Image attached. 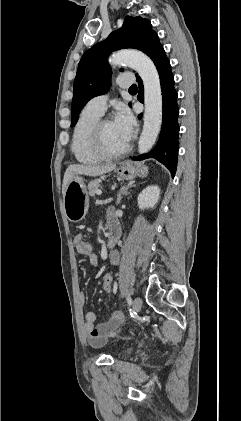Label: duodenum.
Segmentation results:
<instances>
[{
    "instance_id": "duodenum-1",
    "label": "duodenum",
    "mask_w": 241,
    "mask_h": 421,
    "mask_svg": "<svg viewBox=\"0 0 241 421\" xmlns=\"http://www.w3.org/2000/svg\"><path fill=\"white\" fill-rule=\"evenodd\" d=\"M121 236V228L117 220L109 219L108 223V245L113 247Z\"/></svg>"
}]
</instances>
